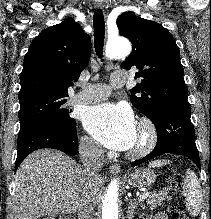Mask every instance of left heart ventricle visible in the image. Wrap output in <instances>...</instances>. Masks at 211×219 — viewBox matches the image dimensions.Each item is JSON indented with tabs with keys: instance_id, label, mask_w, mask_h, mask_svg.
Returning <instances> with one entry per match:
<instances>
[{
	"instance_id": "1",
	"label": "left heart ventricle",
	"mask_w": 211,
	"mask_h": 219,
	"mask_svg": "<svg viewBox=\"0 0 211 219\" xmlns=\"http://www.w3.org/2000/svg\"><path fill=\"white\" fill-rule=\"evenodd\" d=\"M139 141H140V134H139V132H138V134H137V139H136V142H135V144H134L133 147H135V146L139 143Z\"/></svg>"
}]
</instances>
